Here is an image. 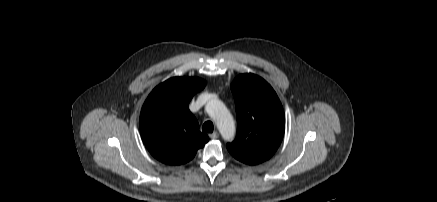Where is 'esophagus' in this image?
<instances>
[{"instance_id": "1", "label": "esophagus", "mask_w": 437, "mask_h": 202, "mask_svg": "<svg viewBox=\"0 0 437 202\" xmlns=\"http://www.w3.org/2000/svg\"><path fill=\"white\" fill-rule=\"evenodd\" d=\"M218 136H219L218 132H213V133L209 134V137L211 139H216V138H218Z\"/></svg>"}]
</instances>
